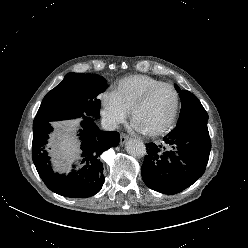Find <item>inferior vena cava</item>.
Returning <instances> with one entry per match:
<instances>
[{
  "label": "inferior vena cava",
  "mask_w": 248,
  "mask_h": 248,
  "mask_svg": "<svg viewBox=\"0 0 248 248\" xmlns=\"http://www.w3.org/2000/svg\"><path fill=\"white\" fill-rule=\"evenodd\" d=\"M101 126L106 131H112L118 128L116 121L110 118H103L101 120Z\"/></svg>",
  "instance_id": "inferior-vena-cava-1"
}]
</instances>
